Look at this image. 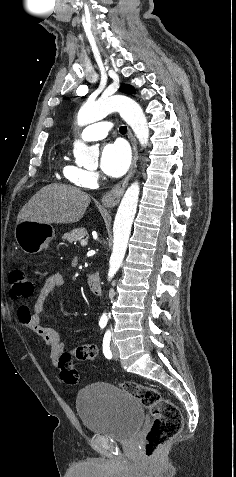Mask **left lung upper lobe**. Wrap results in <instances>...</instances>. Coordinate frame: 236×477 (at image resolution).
Listing matches in <instances>:
<instances>
[{"label": "left lung upper lobe", "instance_id": "obj_1", "mask_svg": "<svg viewBox=\"0 0 236 477\" xmlns=\"http://www.w3.org/2000/svg\"><path fill=\"white\" fill-rule=\"evenodd\" d=\"M121 91L126 92V93H131V94L135 93L134 88L132 86L126 85V84H123L121 86Z\"/></svg>", "mask_w": 236, "mask_h": 477}]
</instances>
